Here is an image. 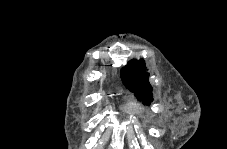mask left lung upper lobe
Returning a JSON list of instances; mask_svg holds the SVG:
<instances>
[{
    "mask_svg": "<svg viewBox=\"0 0 227 149\" xmlns=\"http://www.w3.org/2000/svg\"><path fill=\"white\" fill-rule=\"evenodd\" d=\"M148 76L149 73L146 72L144 60H131L121 70L123 84L145 104L152 101V87L148 83Z\"/></svg>",
    "mask_w": 227,
    "mask_h": 149,
    "instance_id": "left-lung-upper-lobe-1",
    "label": "left lung upper lobe"
}]
</instances>
